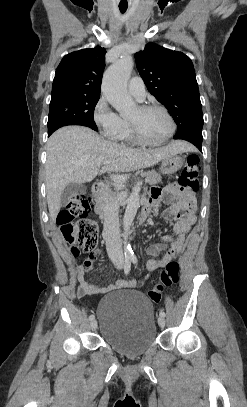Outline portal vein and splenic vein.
<instances>
[{"label":"portal vein and splenic vein","mask_w":247,"mask_h":407,"mask_svg":"<svg viewBox=\"0 0 247 407\" xmlns=\"http://www.w3.org/2000/svg\"><path fill=\"white\" fill-rule=\"evenodd\" d=\"M110 162H111V161H105V162H104V165L107 166V165L110 164ZM110 178H111L114 182H116V183H124V182H126V180H127L126 177L123 176V175H111ZM148 181H149V179L146 178V179H145V182H148Z\"/></svg>","instance_id":"obj_1"}]
</instances>
